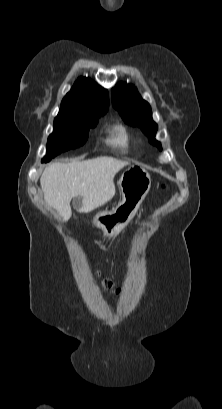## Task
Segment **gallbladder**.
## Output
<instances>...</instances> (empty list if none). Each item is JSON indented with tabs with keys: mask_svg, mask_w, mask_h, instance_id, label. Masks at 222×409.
I'll list each match as a JSON object with an SVG mask.
<instances>
[{
	"mask_svg": "<svg viewBox=\"0 0 222 409\" xmlns=\"http://www.w3.org/2000/svg\"><path fill=\"white\" fill-rule=\"evenodd\" d=\"M73 204L75 205V207H77L80 204V197L74 198Z\"/></svg>",
	"mask_w": 222,
	"mask_h": 409,
	"instance_id": "obj_1",
	"label": "gallbladder"
}]
</instances>
